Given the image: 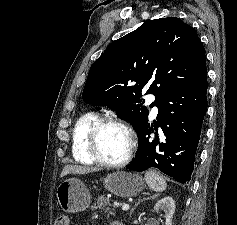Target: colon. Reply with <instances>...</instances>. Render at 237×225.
Returning <instances> with one entry per match:
<instances>
[{
    "label": "colon",
    "mask_w": 237,
    "mask_h": 225,
    "mask_svg": "<svg viewBox=\"0 0 237 225\" xmlns=\"http://www.w3.org/2000/svg\"><path fill=\"white\" fill-rule=\"evenodd\" d=\"M55 225H70L69 217L67 215L58 216Z\"/></svg>",
    "instance_id": "1"
}]
</instances>
